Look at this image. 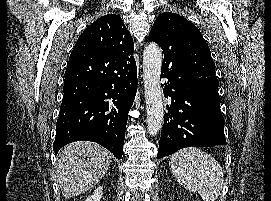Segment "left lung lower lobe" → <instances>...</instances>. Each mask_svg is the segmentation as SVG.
I'll list each match as a JSON object with an SVG mask.
<instances>
[{
  "instance_id": "obj_1",
  "label": "left lung lower lobe",
  "mask_w": 271,
  "mask_h": 201,
  "mask_svg": "<svg viewBox=\"0 0 271 201\" xmlns=\"http://www.w3.org/2000/svg\"><path fill=\"white\" fill-rule=\"evenodd\" d=\"M161 77L167 105L157 158L188 147L225 145L224 118L203 94L194 86L182 64L179 47L172 46L164 54Z\"/></svg>"
}]
</instances>
